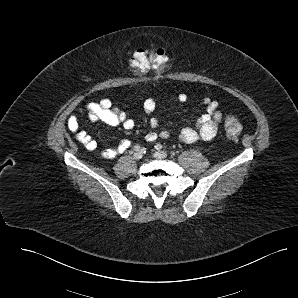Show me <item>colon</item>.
<instances>
[{
  "mask_svg": "<svg viewBox=\"0 0 298 298\" xmlns=\"http://www.w3.org/2000/svg\"><path fill=\"white\" fill-rule=\"evenodd\" d=\"M167 54L157 45H148L136 49L130 57L131 67L142 76L149 72L161 73L167 66ZM225 132L231 140H237L242 133V124L233 115H227L224 121Z\"/></svg>",
  "mask_w": 298,
  "mask_h": 298,
  "instance_id": "colon-1",
  "label": "colon"
}]
</instances>
